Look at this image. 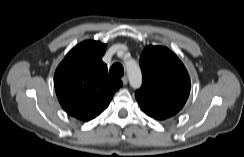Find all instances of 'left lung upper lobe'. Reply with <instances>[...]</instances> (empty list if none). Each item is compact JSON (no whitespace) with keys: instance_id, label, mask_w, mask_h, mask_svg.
<instances>
[{"instance_id":"left-lung-upper-lobe-1","label":"left lung upper lobe","mask_w":244,"mask_h":157,"mask_svg":"<svg viewBox=\"0 0 244 157\" xmlns=\"http://www.w3.org/2000/svg\"><path fill=\"white\" fill-rule=\"evenodd\" d=\"M142 87L135 97L150 117L164 120L177 114L185 105L191 88L183 63L168 48L147 46L140 57Z\"/></svg>"}]
</instances>
